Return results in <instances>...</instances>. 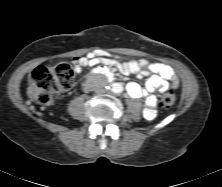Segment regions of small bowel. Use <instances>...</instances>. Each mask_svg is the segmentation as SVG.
Returning <instances> with one entry per match:
<instances>
[{
  "mask_svg": "<svg viewBox=\"0 0 222 187\" xmlns=\"http://www.w3.org/2000/svg\"><path fill=\"white\" fill-rule=\"evenodd\" d=\"M74 71L80 73L82 68H97L100 66L112 73L118 71L123 75L133 74L139 79H146L144 85L131 82L127 85V92L133 98L145 99L144 115L148 119L156 117L157 97L155 91H165L170 86L177 87L179 79L174 70L167 64L149 62L147 60H130L120 62L114 58L106 57L102 53H90L87 56L75 58L72 62Z\"/></svg>",
  "mask_w": 222,
  "mask_h": 187,
  "instance_id": "1",
  "label": "small bowel"
}]
</instances>
